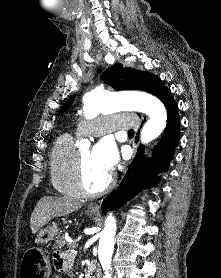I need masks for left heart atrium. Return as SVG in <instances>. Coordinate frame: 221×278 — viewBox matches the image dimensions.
Listing matches in <instances>:
<instances>
[{
    "instance_id": "obj_1",
    "label": "left heart atrium",
    "mask_w": 221,
    "mask_h": 278,
    "mask_svg": "<svg viewBox=\"0 0 221 278\" xmlns=\"http://www.w3.org/2000/svg\"><path fill=\"white\" fill-rule=\"evenodd\" d=\"M92 158L102 170L109 173L118 161L116 146L110 140H102L93 148Z\"/></svg>"
}]
</instances>
